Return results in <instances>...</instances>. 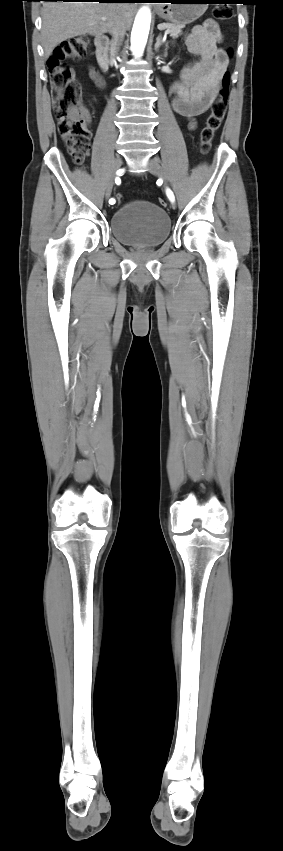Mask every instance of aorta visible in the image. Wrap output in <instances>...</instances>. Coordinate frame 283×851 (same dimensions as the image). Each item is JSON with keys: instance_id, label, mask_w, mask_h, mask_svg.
Returning <instances> with one entry per match:
<instances>
[{"instance_id": "aorta-1", "label": "aorta", "mask_w": 283, "mask_h": 851, "mask_svg": "<svg viewBox=\"0 0 283 851\" xmlns=\"http://www.w3.org/2000/svg\"><path fill=\"white\" fill-rule=\"evenodd\" d=\"M151 23V11L148 7H142L135 18L131 32V46L136 57H140L147 43Z\"/></svg>"}]
</instances>
